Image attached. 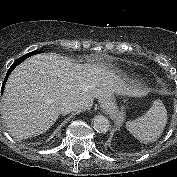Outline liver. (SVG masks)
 Wrapping results in <instances>:
<instances>
[{"label":"liver","instance_id":"obj_1","mask_svg":"<svg viewBox=\"0 0 177 177\" xmlns=\"http://www.w3.org/2000/svg\"><path fill=\"white\" fill-rule=\"evenodd\" d=\"M130 95L113 71L97 64H77L56 53L31 56L9 76L3 97L2 118L19 140L46 132L59 117L65 100L89 109L94 98Z\"/></svg>","mask_w":177,"mask_h":177}]
</instances>
